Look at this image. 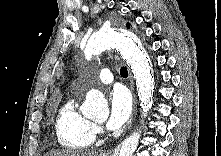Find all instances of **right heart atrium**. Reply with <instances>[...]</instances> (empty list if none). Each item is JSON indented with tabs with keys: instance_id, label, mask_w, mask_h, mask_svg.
Returning a JSON list of instances; mask_svg holds the SVG:
<instances>
[{
	"instance_id": "obj_1",
	"label": "right heart atrium",
	"mask_w": 221,
	"mask_h": 156,
	"mask_svg": "<svg viewBox=\"0 0 221 156\" xmlns=\"http://www.w3.org/2000/svg\"><path fill=\"white\" fill-rule=\"evenodd\" d=\"M99 130H100V128L95 126V132H98Z\"/></svg>"
}]
</instances>
